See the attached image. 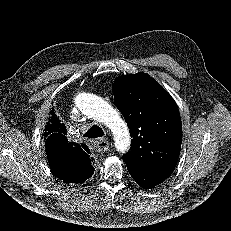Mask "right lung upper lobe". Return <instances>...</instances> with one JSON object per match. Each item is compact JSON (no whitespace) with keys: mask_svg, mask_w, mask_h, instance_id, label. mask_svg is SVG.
<instances>
[{"mask_svg":"<svg viewBox=\"0 0 231 231\" xmlns=\"http://www.w3.org/2000/svg\"><path fill=\"white\" fill-rule=\"evenodd\" d=\"M50 114L44 135L47 136L45 146L51 171L65 183H83L94 172L89 152L79 144L69 142L65 125L54 110Z\"/></svg>","mask_w":231,"mask_h":231,"instance_id":"obj_1","label":"right lung upper lobe"}]
</instances>
